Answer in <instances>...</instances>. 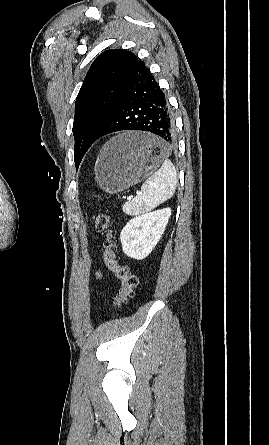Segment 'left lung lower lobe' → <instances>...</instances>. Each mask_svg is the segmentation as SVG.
Returning a JSON list of instances; mask_svg holds the SVG:
<instances>
[{"instance_id":"0a47b994","label":"left lung lower lobe","mask_w":269,"mask_h":445,"mask_svg":"<svg viewBox=\"0 0 269 445\" xmlns=\"http://www.w3.org/2000/svg\"><path fill=\"white\" fill-rule=\"evenodd\" d=\"M121 130L148 131L168 144L175 140L174 121L167 98L142 61L130 76L98 138Z\"/></svg>"}]
</instances>
